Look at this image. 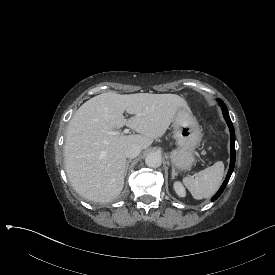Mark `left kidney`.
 Returning <instances> with one entry per match:
<instances>
[{"label": "left kidney", "mask_w": 275, "mask_h": 275, "mask_svg": "<svg viewBox=\"0 0 275 275\" xmlns=\"http://www.w3.org/2000/svg\"><path fill=\"white\" fill-rule=\"evenodd\" d=\"M174 190L179 197L186 196L185 188L183 187L181 182H179V181L174 182Z\"/></svg>", "instance_id": "left-kidney-1"}]
</instances>
